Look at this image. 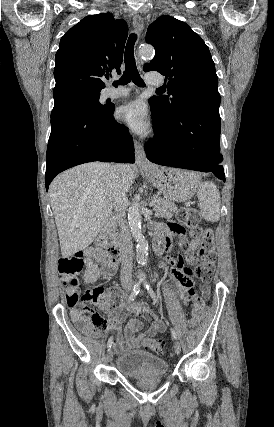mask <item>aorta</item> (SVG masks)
Masks as SVG:
<instances>
[{
  "instance_id": "obj_1",
  "label": "aorta",
  "mask_w": 274,
  "mask_h": 427,
  "mask_svg": "<svg viewBox=\"0 0 274 427\" xmlns=\"http://www.w3.org/2000/svg\"><path fill=\"white\" fill-rule=\"evenodd\" d=\"M139 55L145 58H152L154 56V49L152 46H144L139 50ZM128 223L132 236L137 242L136 252L137 261L139 264H145L147 260L148 242L143 236L141 229V213L139 204L135 202L128 210Z\"/></svg>"
}]
</instances>
